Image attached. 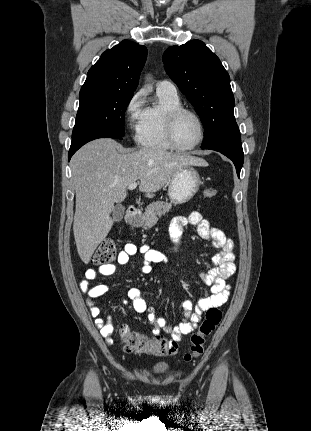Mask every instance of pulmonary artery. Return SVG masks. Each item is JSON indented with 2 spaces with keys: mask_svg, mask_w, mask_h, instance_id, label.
Wrapping results in <instances>:
<instances>
[{
  "mask_svg": "<svg viewBox=\"0 0 311 431\" xmlns=\"http://www.w3.org/2000/svg\"><path fill=\"white\" fill-rule=\"evenodd\" d=\"M156 88H157V91L162 93H166L170 95L177 94L176 86L171 81H168V80L159 81L156 85Z\"/></svg>",
  "mask_w": 311,
  "mask_h": 431,
  "instance_id": "e3ab8cb5",
  "label": "pulmonary artery"
}]
</instances>
